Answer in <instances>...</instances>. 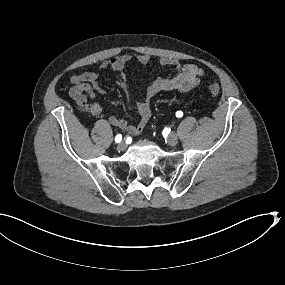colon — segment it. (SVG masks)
<instances>
[{
  "mask_svg": "<svg viewBox=\"0 0 285 285\" xmlns=\"http://www.w3.org/2000/svg\"><path fill=\"white\" fill-rule=\"evenodd\" d=\"M208 90L213 96H218L220 94V86L217 83H210L208 85Z\"/></svg>",
  "mask_w": 285,
  "mask_h": 285,
  "instance_id": "obj_1",
  "label": "colon"
}]
</instances>
